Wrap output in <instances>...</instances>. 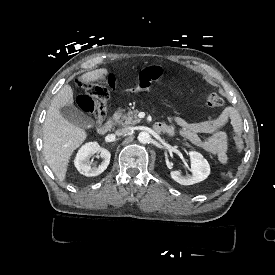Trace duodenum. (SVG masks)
Returning <instances> with one entry per match:
<instances>
[{
    "instance_id": "duodenum-1",
    "label": "duodenum",
    "mask_w": 275,
    "mask_h": 275,
    "mask_svg": "<svg viewBox=\"0 0 275 275\" xmlns=\"http://www.w3.org/2000/svg\"><path fill=\"white\" fill-rule=\"evenodd\" d=\"M114 123H115L114 118H110L107 121H105L102 125L99 126L98 134H100V135L108 134L111 131V129L113 128ZM154 129H155V131L161 132L164 134L169 135V133H170V128L165 123H161V122L155 123Z\"/></svg>"
}]
</instances>
